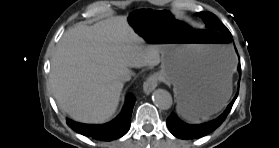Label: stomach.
<instances>
[{
  "instance_id": "stomach-1",
  "label": "stomach",
  "mask_w": 279,
  "mask_h": 148,
  "mask_svg": "<svg viewBox=\"0 0 279 148\" xmlns=\"http://www.w3.org/2000/svg\"><path fill=\"white\" fill-rule=\"evenodd\" d=\"M127 21L147 44L160 48V76L173 84L183 117L207 116L224 106L234 67L229 47L172 10L138 7L130 11Z\"/></svg>"
}]
</instances>
